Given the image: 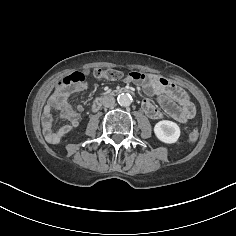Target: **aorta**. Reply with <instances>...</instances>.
Returning <instances> with one entry per match:
<instances>
[{"label":"aorta","instance_id":"1","mask_svg":"<svg viewBox=\"0 0 236 236\" xmlns=\"http://www.w3.org/2000/svg\"><path fill=\"white\" fill-rule=\"evenodd\" d=\"M117 101L120 106L127 107L132 103V96L128 93H122L118 95Z\"/></svg>","mask_w":236,"mask_h":236}]
</instances>
